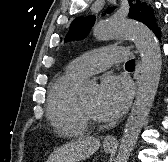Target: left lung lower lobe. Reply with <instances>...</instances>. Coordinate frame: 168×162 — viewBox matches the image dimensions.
<instances>
[{"label": "left lung lower lobe", "mask_w": 168, "mask_h": 162, "mask_svg": "<svg viewBox=\"0 0 168 162\" xmlns=\"http://www.w3.org/2000/svg\"><path fill=\"white\" fill-rule=\"evenodd\" d=\"M148 27L156 34V36L160 40V37H161L160 28L158 27V24L156 23V21L151 25H149Z\"/></svg>", "instance_id": "obj_1"}]
</instances>
